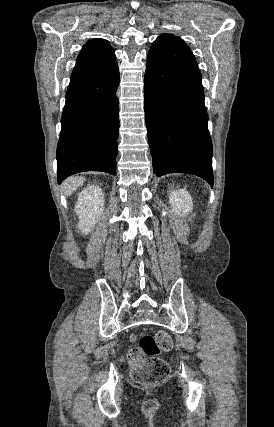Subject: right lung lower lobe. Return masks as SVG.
<instances>
[{
	"mask_svg": "<svg viewBox=\"0 0 274 427\" xmlns=\"http://www.w3.org/2000/svg\"><path fill=\"white\" fill-rule=\"evenodd\" d=\"M117 62L71 77L57 147L58 183L84 171L115 175L119 135Z\"/></svg>",
	"mask_w": 274,
	"mask_h": 427,
	"instance_id": "1",
	"label": "right lung lower lobe"
}]
</instances>
